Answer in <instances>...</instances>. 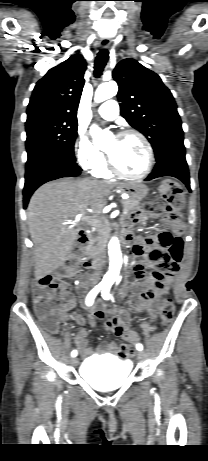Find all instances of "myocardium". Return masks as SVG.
Here are the masks:
<instances>
[{"label": "myocardium", "instance_id": "1", "mask_svg": "<svg viewBox=\"0 0 208 461\" xmlns=\"http://www.w3.org/2000/svg\"><path fill=\"white\" fill-rule=\"evenodd\" d=\"M129 136L137 137L143 143L145 147V150L147 152L148 161H147V166L144 169V171L137 175H130V174L124 173L116 166L111 155L105 152L107 168L111 172V174H114L124 179H130V180L143 179L151 173L154 167V162H155L154 151H153V148L149 140L146 138V136L137 130L128 129V130L121 131L116 135V138L122 139V138L129 137Z\"/></svg>", "mask_w": 208, "mask_h": 461}]
</instances>
